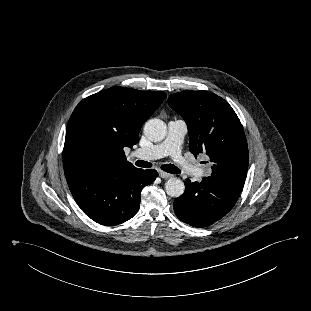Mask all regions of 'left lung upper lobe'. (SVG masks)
I'll return each mask as SVG.
<instances>
[{"label": "left lung upper lobe", "mask_w": 311, "mask_h": 311, "mask_svg": "<svg viewBox=\"0 0 311 311\" xmlns=\"http://www.w3.org/2000/svg\"><path fill=\"white\" fill-rule=\"evenodd\" d=\"M168 103L188 126L189 150L205 153L210 177L242 192L248 170V147L239 118L221 97L208 91H183L169 96Z\"/></svg>", "instance_id": "left-lung-upper-lobe-1"}]
</instances>
